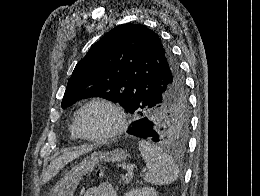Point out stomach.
Returning <instances> with one entry per match:
<instances>
[{"label": "stomach", "mask_w": 260, "mask_h": 196, "mask_svg": "<svg viewBox=\"0 0 260 196\" xmlns=\"http://www.w3.org/2000/svg\"><path fill=\"white\" fill-rule=\"evenodd\" d=\"M126 150L123 148H116L112 152H100V154H92L85 160H82L80 164L74 166L73 170H70L68 174V180H59V185H68V187H50L46 192L47 196H74L76 188L79 186L82 176H86L89 172H92L94 166L98 162H124L128 158Z\"/></svg>", "instance_id": "0dacf381"}]
</instances>
